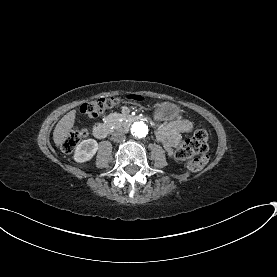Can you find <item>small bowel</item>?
Instances as JSON below:
<instances>
[{"label":"small bowel","instance_id":"1","mask_svg":"<svg viewBox=\"0 0 277 277\" xmlns=\"http://www.w3.org/2000/svg\"><path fill=\"white\" fill-rule=\"evenodd\" d=\"M193 129L194 124L190 120L183 119L178 115L172 121L160 125L155 131V137L169 155H173L181 143L182 136L191 133Z\"/></svg>","mask_w":277,"mask_h":277}]
</instances>
